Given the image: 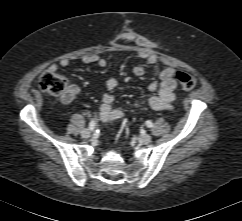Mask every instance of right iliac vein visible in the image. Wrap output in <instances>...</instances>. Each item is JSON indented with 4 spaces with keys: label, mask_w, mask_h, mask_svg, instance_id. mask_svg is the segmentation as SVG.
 <instances>
[{
    "label": "right iliac vein",
    "mask_w": 242,
    "mask_h": 221,
    "mask_svg": "<svg viewBox=\"0 0 242 221\" xmlns=\"http://www.w3.org/2000/svg\"><path fill=\"white\" fill-rule=\"evenodd\" d=\"M81 136L83 138H89L91 136V131L88 129H84L83 131H81Z\"/></svg>",
    "instance_id": "1"
}]
</instances>
